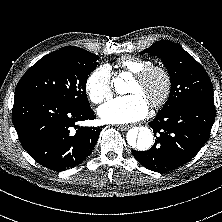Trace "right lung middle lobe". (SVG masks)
<instances>
[{"mask_svg":"<svg viewBox=\"0 0 222 222\" xmlns=\"http://www.w3.org/2000/svg\"><path fill=\"white\" fill-rule=\"evenodd\" d=\"M98 58L75 46L47 54L22 76L15 95H42L68 105L90 107L86 81Z\"/></svg>","mask_w":222,"mask_h":222,"instance_id":"obj_1","label":"right lung middle lobe"}]
</instances>
